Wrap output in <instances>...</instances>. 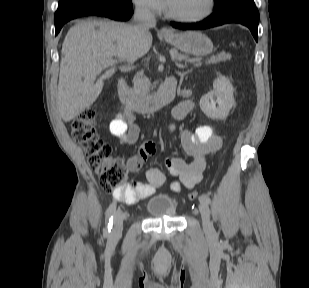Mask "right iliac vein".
Segmentation results:
<instances>
[{
	"mask_svg": "<svg viewBox=\"0 0 309 288\" xmlns=\"http://www.w3.org/2000/svg\"><path fill=\"white\" fill-rule=\"evenodd\" d=\"M123 220V213L121 211H117L114 215L113 227L111 231L112 239H117L121 235L123 229Z\"/></svg>",
	"mask_w": 309,
	"mask_h": 288,
	"instance_id": "63e3f726",
	"label": "right iliac vein"
}]
</instances>
